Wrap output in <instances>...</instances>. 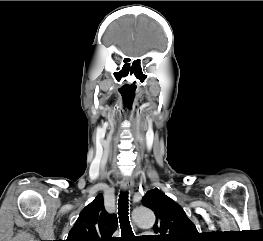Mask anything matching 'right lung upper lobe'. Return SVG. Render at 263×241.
<instances>
[{
	"label": "right lung upper lobe",
	"instance_id": "1",
	"mask_svg": "<svg viewBox=\"0 0 263 241\" xmlns=\"http://www.w3.org/2000/svg\"><path fill=\"white\" fill-rule=\"evenodd\" d=\"M117 229V218L104 208L102 194L80 213L66 241H115L112 237Z\"/></svg>",
	"mask_w": 263,
	"mask_h": 241
}]
</instances>
